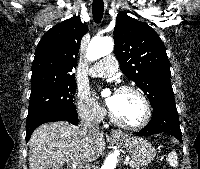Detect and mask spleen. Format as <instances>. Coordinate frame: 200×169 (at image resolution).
<instances>
[{
	"instance_id": "obj_1",
	"label": "spleen",
	"mask_w": 200,
	"mask_h": 169,
	"mask_svg": "<svg viewBox=\"0 0 200 169\" xmlns=\"http://www.w3.org/2000/svg\"><path fill=\"white\" fill-rule=\"evenodd\" d=\"M167 160L172 167L176 168L178 166V157L175 151L168 154Z\"/></svg>"
}]
</instances>
